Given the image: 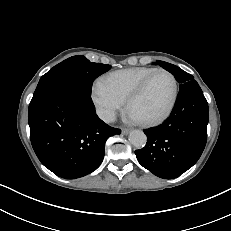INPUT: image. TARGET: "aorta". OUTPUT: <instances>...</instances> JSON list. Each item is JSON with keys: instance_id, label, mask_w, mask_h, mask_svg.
Returning <instances> with one entry per match:
<instances>
[{"instance_id": "1", "label": "aorta", "mask_w": 231, "mask_h": 231, "mask_svg": "<svg viewBox=\"0 0 231 231\" xmlns=\"http://www.w3.org/2000/svg\"><path fill=\"white\" fill-rule=\"evenodd\" d=\"M130 143L136 148H142L147 142L145 133L141 130H133L129 134Z\"/></svg>"}]
</instances>
